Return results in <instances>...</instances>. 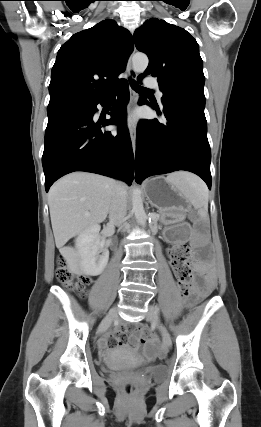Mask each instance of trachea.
Returning a JSON list of instances; mask_svg holds the SVG:
<instances>
[{"label":"trachea","mask_w":261,"mask_h":427,"mask_svg":"<svg viewBox=\"0 0 261 427\" xmlns=\"http://www.w3.org/2000/svg\"><path fill=\"white\" fill-rule=\"evenodd\" d=\"M130 84H131V87H132L136 92H139V93L152 92L151 90H149V89H147V88L141 87V86H140V85H138V83H137V82H135L134 80H130ZM113 92H114V91H113Z\"/></svg>","instance_id":"1"}]
</instances>
